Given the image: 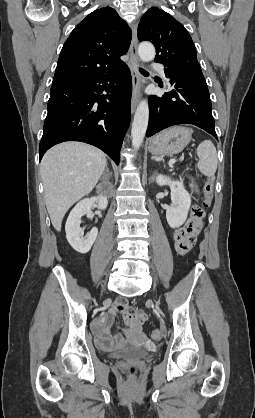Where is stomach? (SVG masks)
Masks as SVG:
<instances>
[{"instance_id": "obj_1", "label": "stomach", "mask_w": 255, "mask_h": 418, "mask_svg": "<svg viewBox=\"0 0 255 418\" xmlns=\"http://www.w3.org/2000/svg\"><path fill=\"white\" fill-rule=\"evenodd\" d=\"M191 138L192 129L174 126L154 136L149 142L148 149L156 156L177 154L189 144Z\"/></svg>"}]
</instances>
